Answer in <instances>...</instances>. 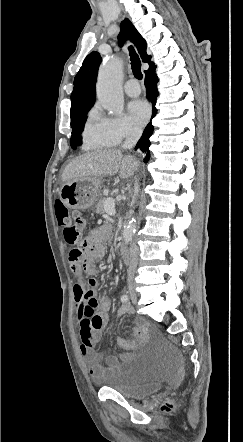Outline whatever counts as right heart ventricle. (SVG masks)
Instances as JSON below:
<instances>
[{
  "label": "right heart ventricle",
  "mask_w": 243,
  "mask_h": 442,
  "mask_svg": "<svg viewBox=\"0 0 243 442\" xmlns=\"http://www.w3.org/2000/svg\"><path fill=\"white\" fill-rule=\"evenodd\" d=\"M82 139L83 147L86 150L110 147L116 144L115 140L105 131L102 117L96 111L89 113Z\"/></svg>",
  "instance_id": "right-heart-ventricle-1"
}]
</instances>
